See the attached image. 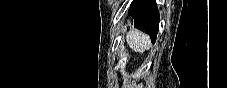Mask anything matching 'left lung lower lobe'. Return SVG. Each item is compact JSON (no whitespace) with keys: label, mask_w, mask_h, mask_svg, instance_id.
I'll use <instances>...</instances> for the list:
<instances>
[{"label":"left lung lower lobe","mask_w":227,"mask_h":88,"mask_svg":"<svg viewBox=\"0 0 227 88\" xmlns=\"http://www.w3.org/2000/svg\"><path fill=\"white\" fill-rule=\"evenodd\" d=\"M128 12L134 19V27L149 34L154 43L159 30V12L155 0H133Z\"/></svg>","instance_id":"0a47b994"}]
</instances>
